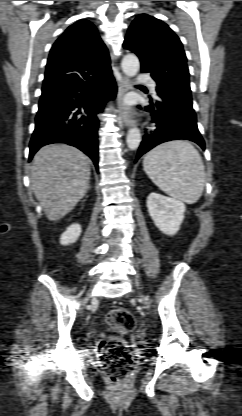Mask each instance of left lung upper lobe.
I'll use <instances>...</instances> for the list:
<instances>
[{
    "label": "left lung upper lobe",
    "instance_id": "obj_1",
    "mask_svg": "<svg viewBox=\"0 0 242 416\" xmlns=\"http://www.w3.org/2000/svg\"><path fill=\"white\" fill-rule=\"evenodd\" d=\"M123 46L139 57L142 72L151 73L157 92L192 100L187 58L181 41L167 24L147 14L138 15Z\"/></svg>",
    "mask_w": 242,
    "mask_h": 416
}]
</instances>
